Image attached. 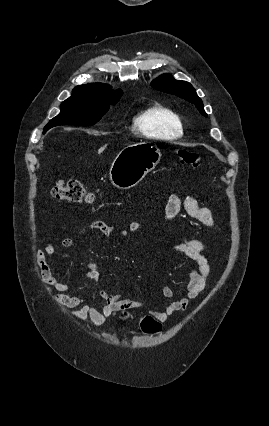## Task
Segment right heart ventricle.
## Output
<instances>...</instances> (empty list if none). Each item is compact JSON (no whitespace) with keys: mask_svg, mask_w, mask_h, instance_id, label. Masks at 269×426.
Listing matches in <instances>:
<instances>
[{"mask_svg":"<svg viewBox=\"0 0 269 426\" xmlns=\"http://www.w3.org/2000/svg\"><path fill=\"white\" fill-rule=\"evenodd\" d=\"M134 126L144 136L153 139H173L183 133L178 115L161 105L151 106L139 113Z\"/></svg>","mask_w":269,"mask_h":426,"instance_id":"right-heart-ventricle-1","label":"right heart ventricle"}]
</instances>
